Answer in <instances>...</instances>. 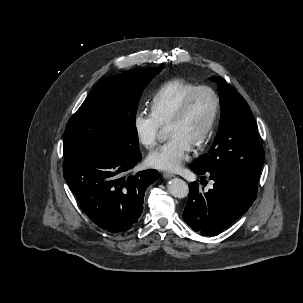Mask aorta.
I'll use <instances>...</instances> for the list:
<instances>
[{
    "label": "aorta",
    "mask_w": 303,
    "mask_h": 303,
    "mask_svg": "<svg viewBox=\"0 0 303 303\" xmlns=\"http://www.w3.org/2000/svg\"><path fill=\"white\" fill-rule=\"evenodd\" d=\"M167 187L168 192L176 198H185L188 196L189 187L187 183L180 178L170 180Z\"/></svg>",
    "instance_id": "762f6f07"
}]
</instances>
